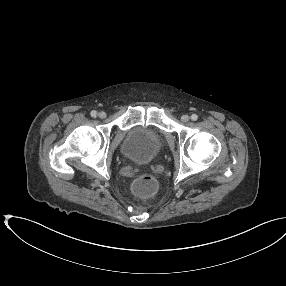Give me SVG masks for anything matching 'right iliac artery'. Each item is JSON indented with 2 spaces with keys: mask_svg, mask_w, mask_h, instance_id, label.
Wrapping results in <instances>:
<instances>
[{
  "mask_svg": "<svg viewBox=\"0 0 286 286\" xmlns=\"http://www.w3.org/2000/svg\"><path fill=\"white\" fill-rule=\"evenodd\" d=\"M90 114H91V116H92V117H96L97 112H96L95 110H93V111H91V113H90Z\"/></svg>",
  "mask_w": 286,
  "mask_h": 286,
  "instance_id": "82829eb1",
  "label": "right iliac artery"
}]
</instances>
